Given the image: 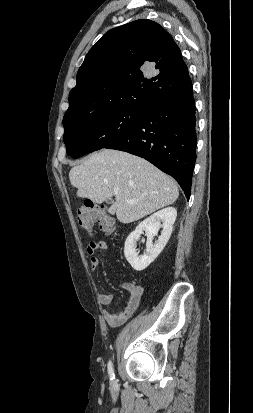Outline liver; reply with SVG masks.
I'll return each instance as SVG.
<instances>
[{
    "label": "liver",
    "instance_id": "1",
    "mask_svg": "<svg viewBox=\"0 0 253 413\" xmlns=\"http://www.w3.org/2000/svg\"><path fill=\"white\" fill-rule=\"evenodd\" d=\"M77 197L96 203L115 196L108 212L124 224L137 221L174 203L179 191L175 181L147 160L127 152L103 149L69 172ZM118 193H114V189ZM133 200L135 203H128Z\"/></svg>",
    "mask_w": 253,
    "mask_h": 413
}]
</instances>
